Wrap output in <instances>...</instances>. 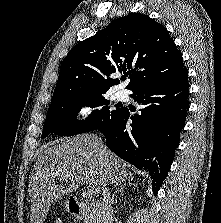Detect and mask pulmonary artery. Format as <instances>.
<instances>
[{"label":"pulmonary artery","instance_id":"pulmonary-artery-1","mask_svg":"<svg viewBox=\"0 0 221 223\" xmlns=\"http://www.w3.org/2000/svg\"><path fill=\"white\" fill-rule=\"evenodd\" d=\"M116 97L118 99H124L126 97V94L123 90H120V91L117 92Z\"/></svg>","mask_w":221,"mask_h":223}]
</instances>
